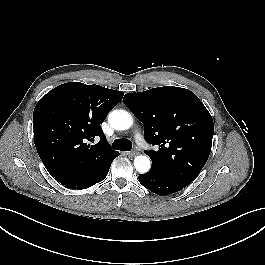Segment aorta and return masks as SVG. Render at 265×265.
<instances>
[{"mask_svg": "<svg viewBox=\"0 0 265 265\" xmlns=\"http://www.w3.org/2000/svg\"><path fill=\"white\" fill-rule=\"evenodd\" d=\"M109 124L116 130H127L133 124L131 114L125 110H114L108 116ZM135 169L141 173H147L151 167V161L146 155H139L134 159Z\"/></svg>", "mask_w": 265, "mask_h": 265, "instance_id": "aorta-1", "label": "aorta"}]
</instances>
